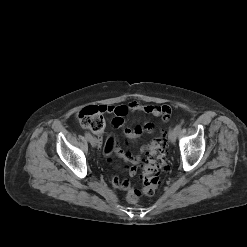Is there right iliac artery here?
<instances>
[{"label": "right iliac artery", "instance_id": "obj_1", "mask_svg": "<svg viewBox=\"0 0 247 247\" xmlns=\"http://www.w3.org/2000/svg\"><path fill=\"white\" fill-rule=\"evenodd\" d=\"M85 137L89 140L90 137H91V134H90L89 132H86V133H85Z\"/></svg>", "mask_w": 247, "mask_h": 247}]
</instances>
